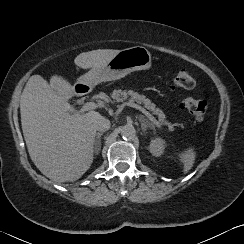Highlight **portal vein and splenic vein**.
<instances>
[{"instance_id": "portal-vein-and-splenic-vein-1", "label": "portal vein and splenic vein", "mask_w": 244, "mask_h": 244, "mask_svg": "<svg viewBox=\"0 0 244 244\" xmlns=\"http://www.w3.org/2000/svg\"><path fill=\"white\" fill-rule=\"evenodd\" d=\"M124 105L133 107L139 111H141L143 114H145L157 127L161 128V123L159 121H157L151 113H149L146 109H144L142 106L135 104V103H131V102H126L124 103ZM98 107H100V105L98 103L95 102H87L85 103L82 108H81V112H85L88 110H94L97 109Z\"/></svg>"}]
</instances>
